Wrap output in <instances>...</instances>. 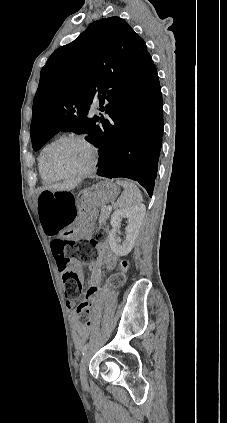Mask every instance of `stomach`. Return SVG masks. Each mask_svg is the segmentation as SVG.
I'll use <instances>...</instances> for the list:
<instances>
[{"instance_id":"stomach-1","label":"stomach","mask_w":227,"mask_h":423,"mask_svg":"<svg viewBox=\"0 0 227 423\" xmlns=\"http://www.w3.org/2000/svg\"><path fill=\"white\" fill-rule=\"evenodd\" d=\"M118 194L119 188L109 180H105V182H98V184H93L90 188L82 190L77 198L76 206L78 210H81L83 206L84 208H87V206L98 208V206H105L109 202H114Z\"/></svg>"}]
</instances>
